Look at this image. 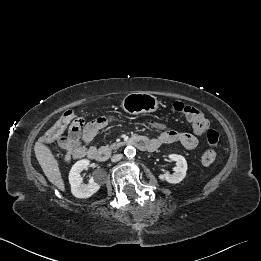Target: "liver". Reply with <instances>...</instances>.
Segmentation results:
<instances>
[{
  "label": "liver",
  "instance_id": "1",
  "mask_svg": "<svg viewBox=\"0 0 261 261\" xmlns=\"http://www.w3.org/2000/svg\"><path fill=\"white\" fill-rule=\"evenodd\" d=\"M36 158L47 179L59 190L65 191V184L61 176L58 161L50 148L41 142H36L34 147Z\"/></svg>",
  "mask_w": 261,
  "mask_h": 261
}]
</instances>
